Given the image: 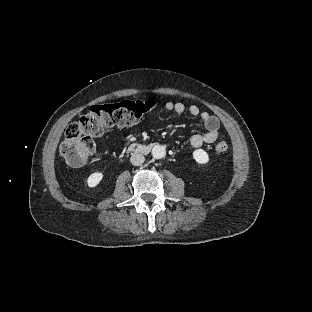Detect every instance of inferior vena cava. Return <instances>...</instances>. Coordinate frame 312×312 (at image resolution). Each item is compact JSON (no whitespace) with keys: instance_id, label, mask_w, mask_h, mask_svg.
<instances>
[{"instance_id":"602c4592","label":"inferior vena cava","mask_w":312,"mask_h":312,"mask_svg":"<svg viewBox=\"0 0 312 312\" xmlns=\"http://www.w3.org/2000/svg\"><path fill=\"white\" fill-rule=\"evenodd\" d=\"M145 157L142 154L139 153H132L130 162L132 165L139 166L142 163H144Z\"/></svg>"}]
</instances>
